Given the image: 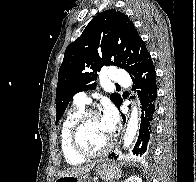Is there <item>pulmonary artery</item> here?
Instances as JSON below:
<instances>
[{
	"mask_svg": "<svg viewBox=\"0 0 196 182\" xmlns=\"http://www.w3.org/2000/svg\"><path fill=\"white\" fill-rule=\"evenodd\" d=\"M110 77L114 84L123 86H128L130 84L129 75L125 71L112 69L110 71ZM74 101L78 104L85 105L90 102V99L86 92H80L74 96Z\"/></svg>",
	"mask_w": 196,
	"mask_h": 182,
	"instance_id": "obj_1",
	"label": "pulmonary artery"
}]
</instances>
